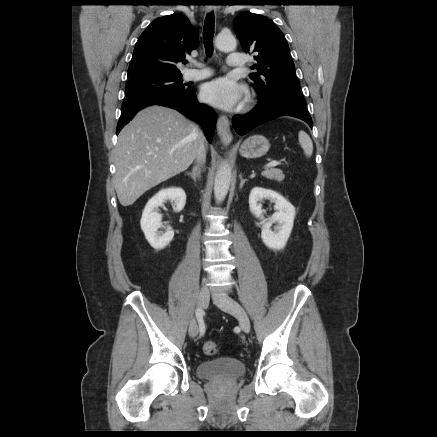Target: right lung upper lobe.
<instances>
[{
  "label": "right lung upper lobe",
  "instance_id": "cb5924a9",
  "mask_svg": "<svg viewBox=\"0 0 437 437\" xmlns=\"http://www.w3.org/2000/svg\"><path fill=\"white\" fill-rule=\"evenodd\" d=\"M199 34L187 17L171 14L154 20L139 37L128 76L181 74L176 64L198 46Z\"/></svg>",
  "mask_w": 437,
  "mask_h": 437
}]
</instances>
